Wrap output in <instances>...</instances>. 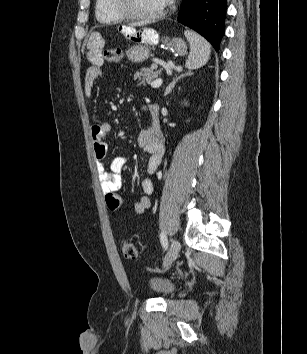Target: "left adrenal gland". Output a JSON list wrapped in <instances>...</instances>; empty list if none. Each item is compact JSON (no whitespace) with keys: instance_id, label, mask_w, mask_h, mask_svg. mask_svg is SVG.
<instances>
[{"instance_id":"1","label":"left adrenal gland","mask_w":307,"mask_h":354,"mask_svg":"<svg viewBox=\"0 0 307 354\" xmlns=\"http://www.w3.org/2000/svg\"><path fill=\"white\" fill-rule=\"evenodd\" d=\"M193 73H191V71L185 73V74H181L180 76L176 77L175 79H173V81L167 86L164 96H167L172 89L175 87V85L177 84V82L181 79H183L186 76H191Z\"/></svg>"}]
</instances>
